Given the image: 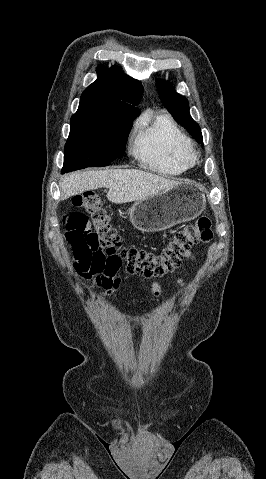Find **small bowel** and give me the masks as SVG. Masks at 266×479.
Returning <instances> with one entry per match:
<instances>
[{
	"label": "small bowel",
	"mask_w": 266,
	"mask_h": 479,
	"mask_svg": "<svg viewBox=\"0 0 266 479\" xmlns=\"http://www.w3.org/2000/svg\"><path fill=\"white\" fill-rule=\"evenodd\" d=\"M185 257L189 258V259L193 258L192 254L189 251L185 254ZM177 284L180 285V286H183L184 285L183 279L178 278L177 279ZM152 292L155 296H158L161 292V286L157 281L152 282Z\"/></svg>",
	"instance_id": "small-bowel-1"
}]
</instances>
